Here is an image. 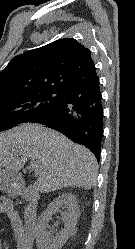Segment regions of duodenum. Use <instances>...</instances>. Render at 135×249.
<instances>
[{
  "label": "duodenum",
  "mask_w": 135,
  "mask_h": 249,
  "mask_svg": "<svg viewBox=\"0 0 135 249\" xmlns=\"http://www.w3.org/2000/svg\"><path fill=\"white\" fill-rule=\"evenodd\" d=\"M22 196L29 203L28 218L32 219V215L37 210V206L39 202L38 193L34 187L26 186L22 189Z\"/></svg>",
  "instance_id": "duodenum-1"
}]
</instances>
